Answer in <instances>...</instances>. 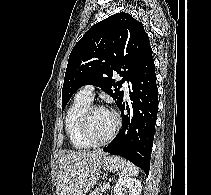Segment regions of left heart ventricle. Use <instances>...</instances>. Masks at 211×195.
<instances>
[{
  "label": "left heart ventricle",
  "mask_w": 211,
  "mask_h": 195,
  "mask_svg": "<svg viewBox=\"0 0 211 195\" xmlns=\"http://www.w3.org/2000/svg\"><path fill=\"white\" fill-rule=\"evenodd\" d=\"M115 124L113 114L108 110L94 111L89 119L88 133L92 140L101 141L112 131Z\"/></svg>",
  "instance_id": "1"
}]
</instances>
